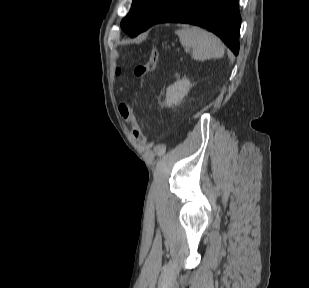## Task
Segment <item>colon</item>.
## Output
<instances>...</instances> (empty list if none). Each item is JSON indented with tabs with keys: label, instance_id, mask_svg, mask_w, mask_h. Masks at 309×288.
I'll use <instances>...</instances> for the list:
<instances>
[{
	"label": "colon",
	"instance_id": "5ec220e1",
	"mask_svg": "<svg viewBox=\"0 0 309 288\" xmlns=\"http://www.w3.org/2000/svg\"><path fill=\"white\" fill-rule=\"evenodd\" d=\"M157 61H158V52L155 49H151L147 59L138 66H136V68L134 69L135 77L138 79H143L149 74H151L156 68ZM120 113L125 119L133 123V135L136 141L139 142L140 144H144L145 136L143 135L141 129L139 128L136 122V117L133 114L132 107L128 105H123L120 107Z\"/></svg>",
	"mask_w": 309,
	"mask_h": 288
}]
</instances>
